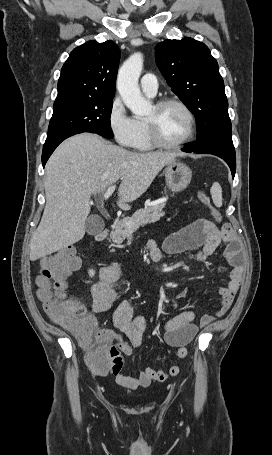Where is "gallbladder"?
Returning <instances> with one entry per match:
<instances>
[{
  "mask_svg": "<svg viewBox=\"0 0 272 455\" xmlns=\"http://www.w3.org/2000/svg\"><path fill=\"white\" fill-rule=\"evenodd\" d=\"M104 228V222L98 215H91L86 220V229L88 234L95 235L100 233Z\"/></svg>",
  "mask_w": 272,
  "mask_h": 455,
  "instance_id": "gallbladder-1",
  "label": "gallbladder"
}]
</instances>
